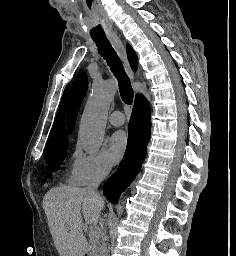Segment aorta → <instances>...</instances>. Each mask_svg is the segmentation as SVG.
I'll return each instance as SVG.
<instances>
[{"label": "aorta", "instance_id": "aorta-1", "mask_svg": "<svg viewBox=\"0 0 236 256\" xmlns=\"http://www.w3.org/2000/svg\"><path fill=\"white\" fill-rule=\"evenodd\" d=\"M116 90L113 79L93 84L79 129V137L85 145L99 147L102 144L108 109Z\"/></svg>", "mask_w": 236, "mask_h": 256}]
</instances>
